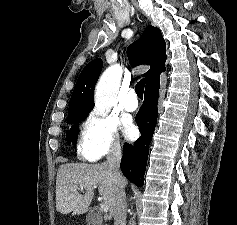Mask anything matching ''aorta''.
I'll return each instance as SVG.
<instances>
[{
  "instance_id": "1",
  "label": "aorta",
  "mask_w": 237,
  "mask_h": 225,
  "mask_svg": "<svg viewBox=\"0 0 237 225\" xmlns=\"http://www.w3.org/2000/svg\"><path fill=\"white\" fill-rule=\"evenodd\" d=\"M121 74V67L113 65L106 69L100 77L94 97V111L96 114L106 116L115 105Z\"/></svg>"
}]
</instances>
